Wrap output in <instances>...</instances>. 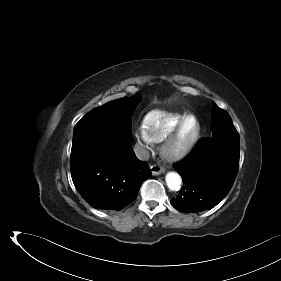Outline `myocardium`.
<instances>
[{
	"instance_id": "1",
	"label": "myocardium",
	"mask_w": 281,
	"mask_h": 281,
	"mask_svg": "<svg viewBox=\"0 0 281 281\" xmlns=\"http://www.w3.org/2000/svg\"><path fill=\"white\" fill-rule=\"evenodd\" d=\"M194 119L196 122V130L193 136L185 141L179 142V136L182 128L188 119ZM201 137V123L199 118L194 114L184 116L173 130L165 137L162 143L161 151L165 158L170 161H179L189 155L197 145Z\"/></svg>"
}]
</instances>
